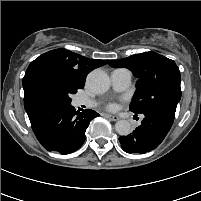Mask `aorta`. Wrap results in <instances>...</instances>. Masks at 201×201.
<instances>
[{
    "label": "aorta",
    "mask_w": 201,
    "mask_h": 201,
    "mask_svg": "<svg viewBox=\"0 0 201 201\" xmlns=\"http://www.w3.org/2000/svg\"><path fill=\"white\" fill-rule=\"evenodd\" d=\"M87 85L95 93H104L109 89L110 79L106 72L100 69L91 71L87 76ZM116 132L121 136L131 133V124L127 120H119L115 124Z\"/></svg>",
    "instance_id": "aorta-1"
}]
</instances>
